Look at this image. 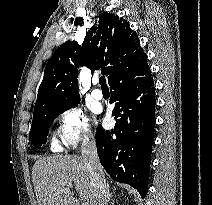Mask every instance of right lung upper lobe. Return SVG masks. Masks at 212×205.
<instances>
[{
  "label": "right lung upper lobe",
  "instance_id": "obj_1",
  "mask_svg": "<svg viewBox=\"0 0 212 205\" xmlns=\"http://www.w3.org/2000/svg\"><path fill=\"white\" fill-rule=\"evenodd\" d=\"M143 54L138 35L126 20L114 14H100L82 46L76 41H67L52 55L45 67L34 110L79 101V66H87L92 71L101 68L109 81L119 69Z\"/></svg>",
  "mask_w": 212,
  "mask_h": 205
}]
</instances>
